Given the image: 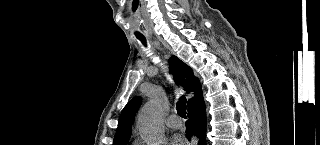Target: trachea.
Here are the masks:
<instances>
[{
  "label": "trachea",
  "instance_id": "trachea-1",
  "mask_svg": "<svg viewBox=\"0 0 320 145\" xmlns=\"http://www.w3.org/2000/svg\"><path fill=\"white\" fill-rule=\"evenodd\" d=\"M137 39H139L146 46L145 37L138 36ZM177 112H178V115L181 116L182 118H185V119L187 118V116H186V100L184 97H182L177 102Z\"/></svg>",
  "mask_w": 320,
  "mask_h": 145
}]
</instances>
